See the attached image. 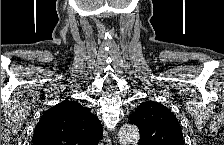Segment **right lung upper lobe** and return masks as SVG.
<instances>
[{"label":"right lung upper lobe","mask_w":224,"mask_h":145,"mask_svg":"<svg viewBox=\"0 0 224 145\" xmlns=\"http://www.w3.org/2000/svg\"><path fill=\"white\" fill-rule=\"evenodd\" d=\"M97 117L74 101L48 109L36 125L33 145H97L102 137Z\"/></svg>","instance_id":"1"}]
</instances>
